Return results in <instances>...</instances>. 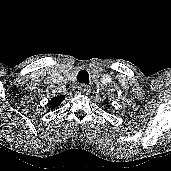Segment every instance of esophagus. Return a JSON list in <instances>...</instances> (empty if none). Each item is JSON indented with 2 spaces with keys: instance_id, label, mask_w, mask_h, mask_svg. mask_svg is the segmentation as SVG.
<instances>
[{
  "instance_id": "obj_1",
  "label": "esophagus",
  "mask_w": 171,
  "mask_h": 171,
  "mask_svg": "<svg viewBox=\"0 0 171 171\" xmlns=\"http://www.w3.org/2000/svg\"><path fill=\"white\" fill-rule=\"evenodd\" d=\"M90 88L88 85L86 84H81L79 87H78V93L79 94H87L89 92Z\"/></svg>"
}]
</instances>
